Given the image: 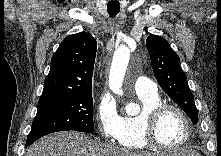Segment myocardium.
<instances>
[{
  "instance_id": "1",
  "label": "myocardium",
  "mask_w": 221,
  "mask_h": 156,
  "mask_svg": "<svg viewBox=\"0 0 221 156\" xmlns=\"http://www.w3.org/2000/svg\"><path fill=\"white\" fill-rule=\"evenodd\" d=\"M169 110L177 112L185 123L186 133L182 142L174 147L162 144L157 137V127L163 114ZM142 135L145 142L154 148L163 151H176L183 148L190 140L192 135L191 121L186 112L178 105L162 102L151 108L143 118Z\"/></svg>"
}]
</instances>
